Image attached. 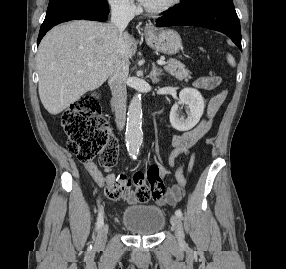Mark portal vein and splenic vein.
<instances>
[{
  "instance_id": "18ae733b",
  "label": "portal vein and splenic vein",
  "mask_w": 286,
  "mask_h": 269,
  "mask_svg": "<svg viewBox=\"0 0 286 269\" xmlns=\"http://www.w3.org/2000/svg\"><path fill=\"white\" fill-rule=\"evenodd\" d=\"M157 63H158L159 65H164V64H165V61H164L163 59H160V60L157 61Z\"/></svg>"
}]
</instances>
